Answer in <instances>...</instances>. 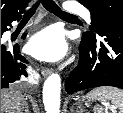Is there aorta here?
<instances>
[{
	"instance_id": "762f6f07",
	"label": "aorta",
	"mask_w": 123,
	"mask_h": 113,
	"mask_svg": "<svg viewBox=\"0 0 123 113\" xmlns=\"http://www.w3.org/2000/svg\"><path fill=\"white\" fill-rule=\"evenodd\" d=\"M61 77L51 74L44 82L43 103L46 113H60Z\"/></svg>"
}]
</instances>
